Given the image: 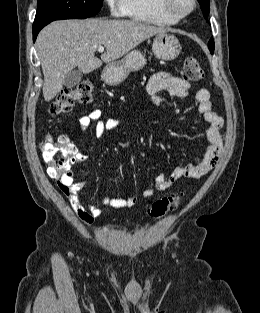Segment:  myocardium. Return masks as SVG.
<instances>
[{"label":"myocardium","instance_id":"1","mask_svg":"<svg viewBox=\"0 0 260 313\" xmlns=\"http://www.w3.org/2000/svg\"><path fill=\"white\" fill-rule=\"evenodd\" d=\"M188 2L189 7L184 11L175 10L172 0H158V7L167 16L173 18L176 21H180L192 13L196 7V0H188Z\"/></svg>","mask_w":260,"mask_h":313}]
</instances>
